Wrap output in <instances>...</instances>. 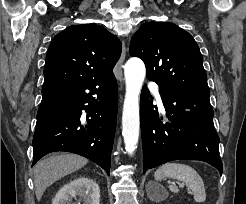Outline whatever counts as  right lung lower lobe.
I'll use <instances>...</instances> for the list:
<instances>
[{
	"instance_id": "obj_1",
	"label": "right lung lower lobe",
	"mask_w": 246,
	"mask_h": 204,
	"mask_svg": "<svg viewBox=\"0 0 246 204\" xmlns=\"http://www.w3.org/2000/svg\"><path fill=\"white\" fill-rule=\"evenodd\" d=\"M33 137V164L44 155L68 151L100 165L109 174L117 118L113 75L42 88Z\"/></svg>"
}]
</instances>
